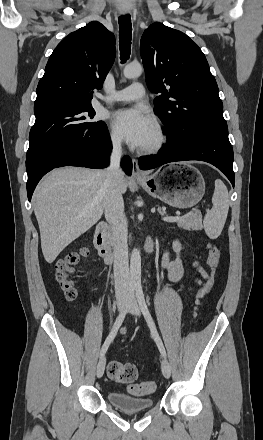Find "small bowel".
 <instances>
[{
    "label": "small bowel",
    "mask_w": 263,
    "mask_h": 440,
    "mask_svg": "<svg viewBox=\"0 0 263 440\" xmlns=\"http://www.w3.org/2000/svg\"><path fill=\"white\" fill-rule=\"evenodd\" d=\"M181 250V244L176 241L173 243L171 251H166L162 257V267L167 271L170 281L174 283H180L184 276V268L180 259ZM171 253L174 255L173 258H171ZM192 266L199 274V276L194 280L196 284H201L202 280H205L209 277L207 272L202 266L199 265L198 262L194 261ZM121 332L123 333L124 330H121Z\"/></svg>",
    "instance_id": "1"
}]
</instances>
